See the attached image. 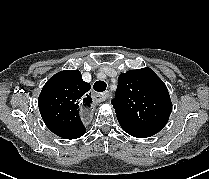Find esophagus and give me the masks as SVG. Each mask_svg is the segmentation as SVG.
Returning <instances> with one entry per match:
<instances>
[{"mask_svg": "<svg viewBox=\"0 0 209 179\" xmlns=\"http://www.w3.org/2000/svg\"><path fill=\"white\" fill-rule=\"evenodd\" d=\"M111 96L110 91L97 94L94 97H87L81 100L82 120L85 123H90L93 120V106L96 102H102Z\"/></svg>", "mask_w": 209, "mask_h": 179, "instance_id": "esophagus-1", "label": "esophagus"}]
</instances>
